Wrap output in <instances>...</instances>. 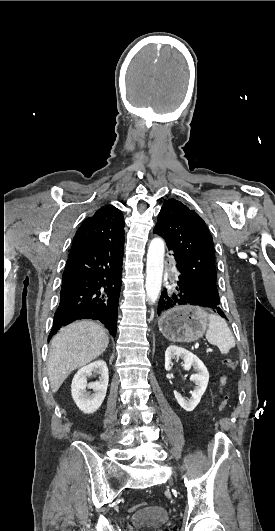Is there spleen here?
<instances>
[{"mask_svg":"<svg viewBox=\"0 0 275 531\" xmlns=\"http://www.w3.org/2000/svg\"><path fill=\"white\" fill-rule=\"evenodd\" d=\"M208 331L206 339L210 345H216L222 355H227L235 347L234 337L225 321L219 315H208Z\"/></svg>","mask_w":275,"mask_h":531,"instance_id":"spleen-1","label":"spleen"}]
</instances>
